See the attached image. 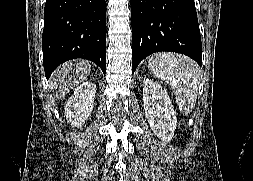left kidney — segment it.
Wrapping results in <instances>:
<instances>
[{
    "mask_svg": "<svg viewBox=\"0 0 253 181\" xmlns=\"http://www.w3.org/2000/svg\"><path fill=\"white\" fill-rule=\"evenodd\" d=\"M143 102L148 123L162 141H170L177 126L175 111L168 92L148 78L143 81Z\"/></svg>",
    "mask_w": 253,
    "mask_h": 181,
    "instance_id": "1",
    "label": "left kidney"
}]
</instances>
